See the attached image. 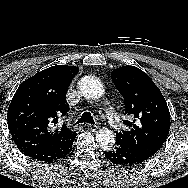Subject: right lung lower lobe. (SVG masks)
Returning a JSON list of instances; mask_svg holds the SVG:
<instances>
[{"mask_svg":"<svg viewBox=\"0 0 188 188\" xmlns=\"http://www.w3.org/2000/svg\"><path fill=\"white\" fill-rule=\"evenodd\" d=\"M76 133L72 134L68 139L61 143L54 144L52 146L41 147L33 149L25 153L24 155L34 159L45 162H52L54 160L63 158L72 149V144L75 140Z\"/></svg>","mask_w":188,"mask_h":188,"instance_id":"98d812e1","label":"right lung lower lobe"}]
</instances>
